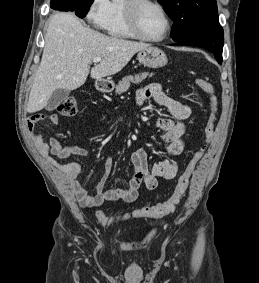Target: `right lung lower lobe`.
<instances>
[{
	"label": "right lung lower lobe",
	"mask_w": 259,
	"mask_h": 283,
	"mask_svg": "<svg viewBox=\"0 0 259 283\" xmlns=\"http://www.w3.org/2000/svg\"><path fill=\"white\" fill-rule=\"evenodd\" d=\"M77 0H51V7L59 11H75Z\"/></svg>",
	"instance_id": "1"
}]
</instances>
